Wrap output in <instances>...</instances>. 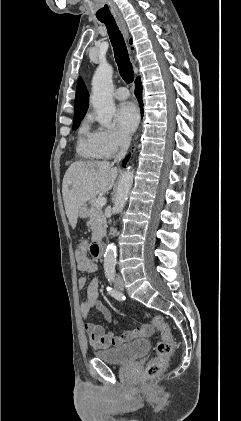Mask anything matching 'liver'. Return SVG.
Segmentation results:
<instances>
[{
  "instance_id": "obj_1",
  "label": "liver",
  "mask_w": 241,
  "mask_h": 421,
  "mask_svg": "<svg viewBox=\"0 0 241 421\" xmlns=\"http://www.w3.org/2000/svg\"><path fill=\"white\" fill-rule=\"evenodd\" d=\"M118 169L107 161H78L67 169L62 184L66 215L74 229L80 208L100 193L112 189Z\"/></svg>"
}]
</instances>
